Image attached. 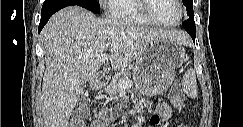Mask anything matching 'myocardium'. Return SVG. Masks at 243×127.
<instances>
[{
	"label": "myocardium",
	"mask_w": 243,
	"mask_h": 127,
	"mask_svg": "<svg viewBox=\"0 0 243 127\" xmlns=\"http://www.w3.org/2000/svg\"><path fill=\"white\" fill-rule=\"evenodd\" d=\"M175 1L178 5L179 11H180V16L175 23H171V24L161 22L153 15L151 8H150V0H140L139 3H140V9H141L142 14L151 23H153L154 25H157L159 27H163V28H174V27L179 26L182 23V20L184 18V7L182 4V1L181 0H175Z\"/></svg>",
	"instance_id": "1"
}]
</instances>
